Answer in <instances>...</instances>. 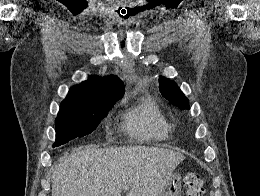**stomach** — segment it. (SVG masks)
Here are the masks:
<instances>
[{"mask_svg": "<svg viewBox=\"0 0 260 196\" xmlns=\"http://www.w3.org/2000/svg\"><path fill=\"white\" fill-rule=\"evenodd\" d=\"M168 185H182V180H167ZM165 192H161V196H180V187H165Z\"/></svg>", "mask_w": 260, "mask_h": 196, "instance_id": "obj_1", "label": "stomach"}]
</instances>
